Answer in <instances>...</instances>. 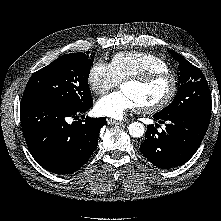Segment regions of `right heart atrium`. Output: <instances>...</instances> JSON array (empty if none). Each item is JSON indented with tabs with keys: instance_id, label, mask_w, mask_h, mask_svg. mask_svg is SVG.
<instances>
[{
	"instance_id": "1",
	"label": "right heart atrium",
	"mask_w": 221,
	"mask_h": 221,
	"mask_svg": "<svg viewBox=\"0 0 221 221\" xmlns=\"http://www.w3.org/2000/svg\"><path fill=\"white\" fill-rule=\"evenodd\" d=\"M87 82L90 89L96 95H104L112 88L118 86L120 80L110 64L104 61H97L92 64L88 71Z\"/></svg>"
}]
</instances>
